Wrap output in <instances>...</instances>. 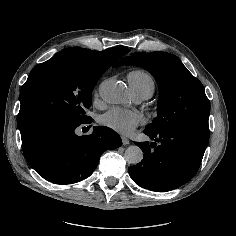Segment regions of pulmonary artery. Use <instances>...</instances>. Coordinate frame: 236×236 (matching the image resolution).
I'll return each mask as SVG.
<instances>
[{
    "instance_id": "obj_1",
    "label": "pulmonary artery",
    "mask_w": 236,
    "mask_h": 236,
    "mask_svg": "<svg viewBox=\"0 0 236 236\" xmlns=\"http://www.w3.org/2000/svg\"><path fill=\"white\" fill-rule=\"evenodd\" d=\"M134 98H135L136 102H140V101L147 99L145 96L140 95V94H134Z\"/></svg>"
}]
</instances>
